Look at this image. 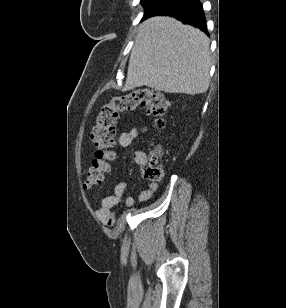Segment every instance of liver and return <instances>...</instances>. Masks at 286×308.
I'll return each mask as SVG.
<instances>
[{
	"instance_id": "liver-1",
	"label": "liver",
	"mask_w": 286,
	"mask_h": 308,
	"mask_svg": "<svg viewBox=\"0 0 286 308\" xmlns=\"http://www.w3.org/2000/svg\"><path fill=\"white\" fill-rule=\"evenodd\" d=\"M210 41L199 29L171 17H152L139 25L124 90L147 86L190 95L210 83Z\"/></svg>"
}]
</instances>
